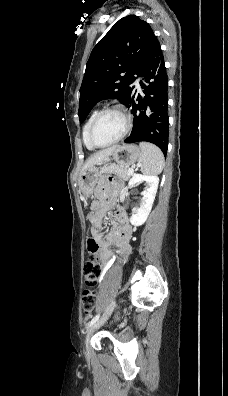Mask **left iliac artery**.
<instances>
[{
  "mask_svg": "<svg viewBox=\"0 0 228 396\" xmlns=\"http://www.w3.org/2000/svg\"><path fill=\"white\" fill-rule=\"evenodd\" d=\"M100 317V314H97L96 316H94L91 321H89V323L87 324V328L91 327Z\"/></svg>",
  "mask_w": 228,
  "mask_h": 396,
  "instance_id": "1",
  "label": "left iliac artery"
}]
</instances>
